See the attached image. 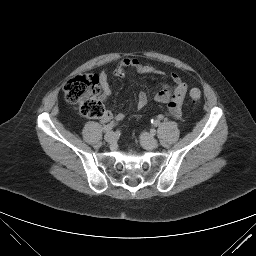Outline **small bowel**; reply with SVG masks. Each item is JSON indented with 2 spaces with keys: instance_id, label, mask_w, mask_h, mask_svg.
Listing matches in <instances>:
<instances>
[{
  "instance_id": "obj_1",
  "label": "small bowel",
  "mask_w": 256,
  "mask_h": 256,
  "mask_svg": "<svg viewBox=\"0 0 256 256\" xmlns=\"http://www.w3.org/2000/svg\"><path fill=\"white\" fill-rule=\"evenodd\" d=\"M129 67L136 69L141 74H163L162 71L158 70L151 64L142 63L136 58H125L121 60L115 69V73L118 76H123L126 69ZM170 77L173 85L164 86L160 91L156 93L154 99L158 103L167 104L170 114L175 118H179L182 113L183 102L187 92V84L176 72L171 73ZM99 78L102 88L100 98L101 100L106 101L111 95V87L108 81V76L105 72H101ZM147 102V94L144 91H140L137 95L138 109H142L147 104ZM113 118H115L116 120H122L124 118V114L118 113L113 116L110 111H106V114L102 118V121L108 122Z\"/></svg>"
}]
</instances>
